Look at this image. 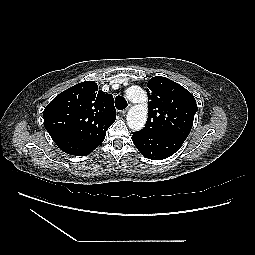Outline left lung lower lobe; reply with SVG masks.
Masks as SVG:
<instances>
[{
    "label": "left lung lower lobe",
    "instance_id": "0a47b994",
    "mask_svg": "<svg viewBox=\"0 0 255 255\" xmlns=\"http://www.w3.org/2000/svg\"><path fill=\"white\" fill-rule=\"evenodd\" d=\"M186 138L174 135H145L133 132V143L141 154L152 160L170 157L182 146Z\"/></svg>",
    "mask_w": 255,
    "mask_h": 255
}]
</instances>
